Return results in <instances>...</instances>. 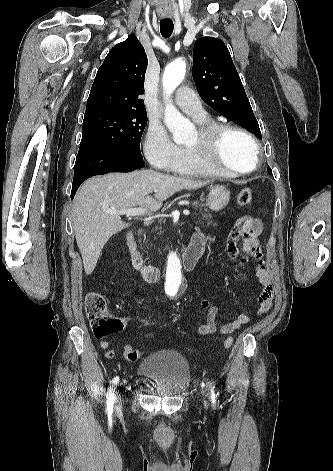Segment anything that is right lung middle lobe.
<instances>
[{"label":"right lung middle lobe","instance_id":"1","mask_svg":"<svg viewBox=\"0 0 333 471\" xmlns=\"http://www.w3.org/2000/svg\"><path fill=\"white\" fill-rule=\"evenodd\" d=\"M146 124V112L139 111H111L85 117L79 149L107 147L142 157L140 140Z\"/></svg>","mask_w":333,"mask_h":471}]
</instances>
